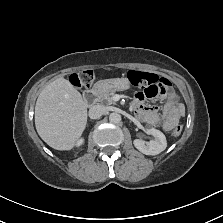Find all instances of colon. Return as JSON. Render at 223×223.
<instances>
[{
    "label": "colon",
    "mask_w": 223,
    "mask_h": 223,
    "mask_svg": "<svg viewBox=\"0 0 223 223\" xmlns=\"http://www.w3.org/2000/svg\"><path fill=\"white\" fill-rule=\"evenodd\" d=\"M128 77L134 85L149 89L153 95L162 92L166 87V82L164 79L153 73L130 71ZM93 80L94 73L91 70L73 73L70 76V82L77 88L89 87ZM182 129V125L177 124L171 130V133L172 135L177 136L182 132Z\"/></svg>",
    "instance_id": "colon-1"
}]
</instances>
